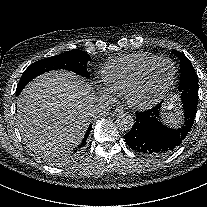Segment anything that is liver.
<instances>
[{
	"instance_id": "1",
	"label": "liver",
	"mask_w": 207,
	"mask_h": 207,
	"mask_svg": "<svg viewBox=\"0 0 207 207\" xmlns=\"http://www.w3.org/2000/svg\"><path fill=\"white\" fill-rule=\"evenodd\" d=\"M91 86L67 70L34 78L17 99L19 131L27 147L54 156L77 147L95 116Z\"/></svg>"
}]
</instances>
